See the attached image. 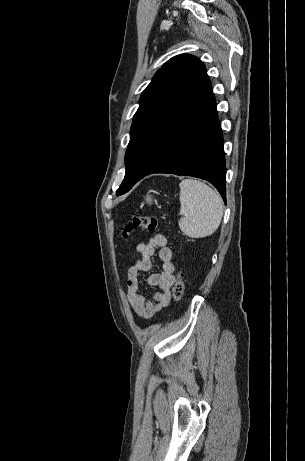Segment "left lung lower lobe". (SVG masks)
I'll return each mask as SVG.
<instances>
[{
  "mask_svg": "<svg viewBox=\"0 0 305 461\" xmlns=\"http://www.w3.org/2000/svg\"><path fill=\"white\" fill-rule=\"evenodd\" d=\"M152 173L194 176L211 182L226 200V168L221 124L207 74L154 138Z\"/></svg>",
  "mask_w": 305,
  "mask_h": 461,
  "instance_id": "left-lung-lower-lobe-1",
  "label": "left lung lower lobe"
}]
</instances>
